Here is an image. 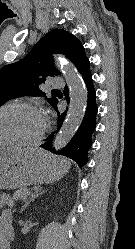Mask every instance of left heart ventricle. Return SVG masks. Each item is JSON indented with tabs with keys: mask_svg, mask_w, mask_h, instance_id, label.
Segmentation results:
<instances>
[{
	"mask_svg": "<svg viewBox=\"0 0 135 249\" xmlns=\"http://www.w3.org/2000/svg\"><path fill=\"white\" fill-rule=\"evenodd\" d=\"M43 116L32 109L12 106L0 112V139H34L42 130Z\"/></svg>",
	"mask_w": 135,
	"mask_h": 249,
	"instance_id": "b2bd125f",
	"label": "left heart ventricle"
}]
</instances>
